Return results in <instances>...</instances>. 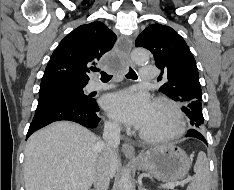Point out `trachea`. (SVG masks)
<instances>
[{"label":"trachea","instance_id":"3493384b","mask_svg":"<svg viewBox=\"0 0 234 190\" xmlns=\"http://www.w3.org/2000/svg\"><path fill=\"white\" fill-rule=\"evenodd\" d=\"M95 71L100 72L102 81H109L112 78V75H109L104 71H100L99 69H96ZM126 77L129 79H137V75L132 68L129 69V72L126 74Z\"/></svg>","mask_w":234,"mask_h":190}]
</instances>
